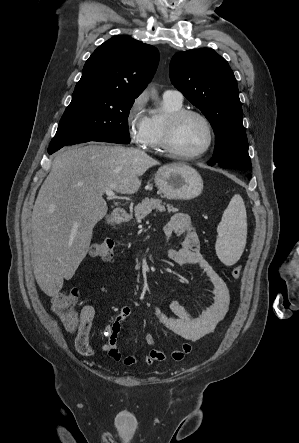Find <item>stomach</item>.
<instances>
[{
	"label": "stomach",
	"mask_w": 299,
	"mask_h": 443,
	"mask_svg": "<svg viewBox=\"0 0 299 443\" xmlns=\"http://www.w3.org/2000/svg\"><path fill=\"white\" fill-rule=\"evenodd\" d=\"M155 184L165 197L174 200L193 199L203 190L200 174L182 163L160 167L155 174Z\"/></svg>",
	"instance_id": "obj_1"
}]
</instances>
